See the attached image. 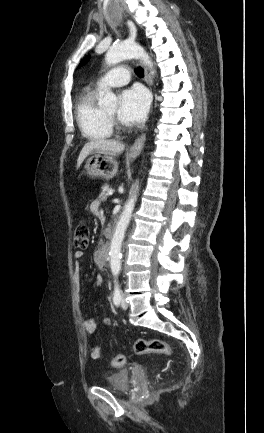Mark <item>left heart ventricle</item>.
Listing matches in <instances>:
<instances>
[{
    "instance_id": "b2bd125f",
    "label": "left heart ventricle",
    "mask_w": 264,
    "mask_h": 433,
    "mask_svg": "<svg viewBox=\"0 0 264 433\" xmlns=\"http://www.w3.org/2000/svg\"><path fill=\"white\" fill-rule=\"evenodd\" d=\"M107 112L112 114V115H115L117 112V108L108 109Z\"/></svg>"
}]
</instances>
